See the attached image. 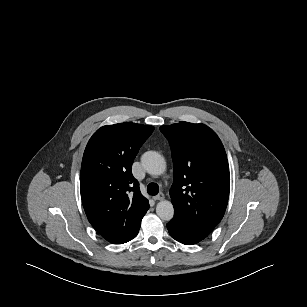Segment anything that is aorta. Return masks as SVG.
Segmentation results:
<instances>
[{
  "mask_svg": "<svg viewBox=\"0 0 307 307\" xmlns=\"http://www.w3.org/2000/svg\"><path fill=\"white\" fill-rule=\"evenodd\" d=\"M141 163L147 173L161 175L166 170V162L162 155L155 151H147L141 157ZM156 214L162 220L169 221L174 216V207L168 200L160 201L156 206Z\"/></svg>",
  "mask_w": 307,
  "mask_h": 307,
  "instance_id": "aorta-1",
  "label": "aorta"
}]
</instances>
